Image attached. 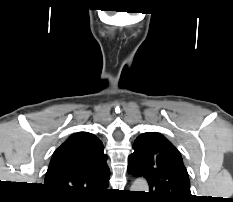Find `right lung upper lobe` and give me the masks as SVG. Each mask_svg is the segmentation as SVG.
<instances>
[{
  "mask_svg": "<svg viewBox=\"0 0 233 202\" xmlns=\"http://www.w3.org/2000/svg\"><path fill=\"white\" fill-rule=\"evenodd\" d=\"M103 143L93 134L78 132L53 153L45 185L56 195L86 198L106 188L110 170Z\"/></svg>",
  "mask_w": 233,
  "mask_h": 202,
  "instance_id": "right-lung-upper-lobe-1",
  "label": "right lung upper lobe"
}]
</instances>
